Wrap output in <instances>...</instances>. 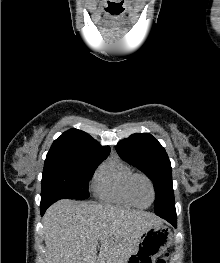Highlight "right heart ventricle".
<instances>
[{"label":"right heart ventricle","mask_w":220,"mask_h":263,"mask_svg":"<svg viewBox=\"0 0 220 263\" xmlns=\"http://www.w3.org/2000/svg\"><path fill=\"white\" fill-rule=\"evenodd\" d=\"M134 174L129 164L114 157L103 163L92 180V190L102 201L122 207L135 206L128 194L129 180Z\"/></svg>","instance_id":"right-heart-ventricle-1"}]
</instances>
